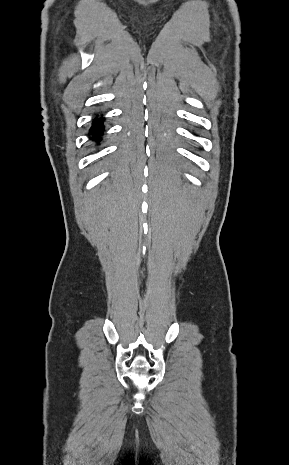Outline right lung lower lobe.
<instances>
[{
  "label": "right lung lower lobe",
  "instance_id": "right-lung-lower-lobe-1",
  "mask_svg": "<svg viewBox=\"0 0 289 465\" xmlns=\"http://www.w3.org/2000/svg\"><path fill=\"white\" fill-rule=\"evenodd\" d=\"M104 130V126H103V120L100 118V119H94L93 123H92V127H91V134L93 136V139L94 140H99V135L102 134Z\"/></svg>",
  "mask_w": 289,
  "mask_h": 465
}]
</instances>
